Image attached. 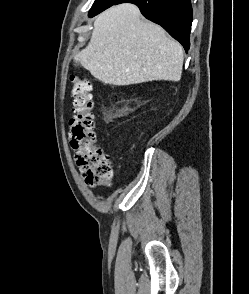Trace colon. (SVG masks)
<instances>
[{
	"instance_id": "5ec220e1",
	"label": "colon",
	"mask_w": 249,
	"mask_h": 294,
	"mask_svg": "<svg viewBox=\"0 0 249 294\" xmlns=\"http://www.w3.org/2000/svg\"><path fill=\"white\" fill-rule=\"evenodd\" d=\"M70 82L73 116L70 119L69 139L75 151L76 165L89 186H109L114 169L108 155L96 144L91 83L77 75H71Z\"/></svg>"
}]
</instances>
